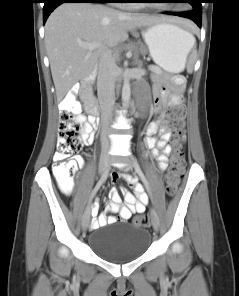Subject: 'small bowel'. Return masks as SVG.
<instances>
[{
    "instance_id": "c3829d8e",
    "label": "small bowel",
    "mask_w": 239,
    "mask_h": 296,
    "mask_svg": "<svg viewBox=\"0 0 239 296\" xmlns=\"http://www.w3.org/2000/svg\"><path fill=\"white\" fill-rule=\"evenodd\" d=\"M184 87V80H174L173 92L169 93L168 88L161 86L156 90L154 98L155 112H159V116L156 120L150 122L145 128V146L151 150V154L155 157L157 167L163 171L167 167L168 155L171 148L168 144L171 138V126L167 120L165 106L167 104L176 105L181 102V92ZM76 120L82 124L81 138L85 144H92L95 139L94 128L89 121H86V117L82 114L76 116ZM81 162V158H77ZM120 177H123L128 182L129 186L133 188V191L126 188H122L120 191L112 189L110 191V203L105 207L103 213L98 214V204H95L93 210L95 216L92 227L98 228L107 224L115 222H126L130 219L134 213H142L145 211L148 197L147 193H144L143 187L137 183V180L130 175L122 173H113L111 175V181L116 182ZM121 195L124 197L126 205L122 204ZM92 210V211H93ZM118 213V218L114 216H108L107 213Z\"/></svg>"
}]
</instances>
